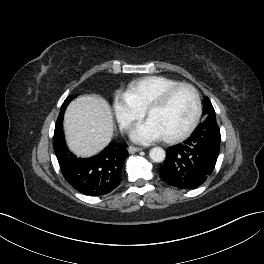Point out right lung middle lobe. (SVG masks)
<instances>
[{
    "label": "right lung middle lobe",
    "instance_id": "right-lung-middle-lobe-1",
    "mask_svg": "<svg viewBox=\"0 0 264 264\" xmlns=\"http://www.w3.org/2000/svg\"><path fill=\"white\" fill-rule=\"evenodd\" d=\"M74 98H75L74 96H71V97L67 98V99L63 102L62 107H61V111H60V114H59V117H60V115H63V114H64V111H65L67 105H68V104L70 103V101L73 100ZM59 117H58V119H59ZM58 119H57V120H58Z\"/></svg>",
    "mask_w": 264,
    "mask_h": 264
}]
</instances>
